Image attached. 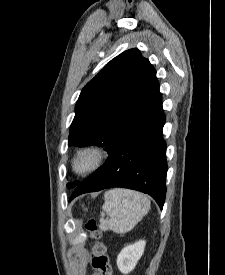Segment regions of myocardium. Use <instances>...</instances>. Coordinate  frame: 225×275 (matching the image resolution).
<instances>
[{"mask_svg":"<svg viewBox=\"0 0 225 275\" xmlns=\"http://www.w3.org/2000/svg\"><path fill=\"white\" fill-rule=\"evenodd\" d=\"M105 152L94 146L81 148L74 155L71 166L77 174H87L99 169L105 162Z\"/></svg>","mask_w":225,"mask_h":275,"instance_id":"obj_1","label":"myocardium"}]
</instances>
